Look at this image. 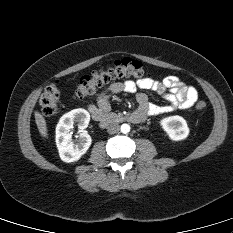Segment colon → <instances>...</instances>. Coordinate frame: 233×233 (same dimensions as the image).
<instances>
[{"label": "colon", "instance_id": "1", "mask_svg": "<svg viewBox=\"0 0 233 233\" xmlns=\"http://www.w3.org/2000/svg\"><path fill=\"white\" fill-rule=\"evenodd\" d=\"M146 70L140 61L130 58H123L115 61L112 65L92 72L90 75L82 77L76 85L74 96L83 99L93 95L100 87L109 82L121 78H146ZM60 92L55 84L48 85L40 96L39 104L42 113L52 116L59 108ZM197 110H203L206 103L202 100L195 105Z\"/></svg>", "mask_w": 233, "mask_h": 233}]
</instances>
